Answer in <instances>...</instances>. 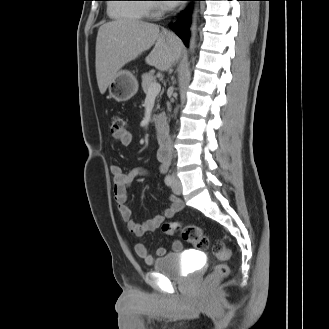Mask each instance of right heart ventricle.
Here are the masks:
<instances>
[{
    "label": "right heart ventricle",
    "instance_id": "obj_1",
    "mask_svg": "<svg viewBox=\"0 0 329 329\" xmlns=\"http://www.w3.org/2000/svg\"><path fill=\"white\" fill-rule=\"evenodd\" d=\"M109 14L117 19L142 21L149 15L150 4L147 0H110Z\"/></svg>",
    "mask_w": 329,
    "mask_h": 329
}]
</instances>
